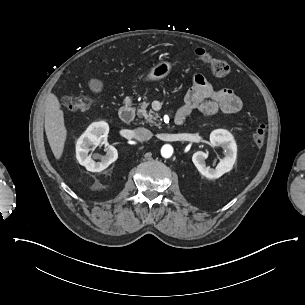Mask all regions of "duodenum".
I'll return each mask as SVG.
<instances>
[{
  "label": "duodenum",
  "instance_id": "410a0bca",
  "mask_svg": "<svg viewBox=\"0 0 305 305\" xmlns=\"http://www.w3.org/2000/svg\"><path fill=\"white\" fill-rule=\"evenodd\" d=\"M119 116L124 122H131L135 118V108L131 99H125L123 105L120 108ZM174 121L177 125H181L184 123V116L178 114Z\"/></svg>",
  "mask_w": 305,
  "mask_h": 305
}]
</instances>
